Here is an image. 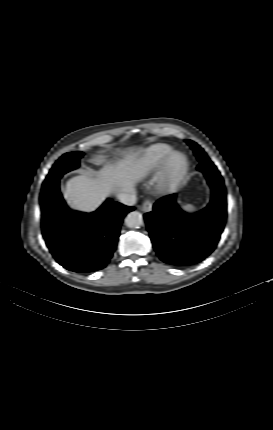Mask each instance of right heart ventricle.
<instances>
[{"label": "right heart ventricle", "instance_id": "obj_1", "mask_svg": "<svg viewBox=\"0 0 273 430\" xmlns=\"http://www.w3.org/2000/svg\"><path fill=\"white\" fill-rule=\"evenodd\" d=\"M172 152V147L167 144H153L144 150L136 173L140 177L154 172Z\"/></svg>", "mask_w": 273, "mask_h": 430}]
</instances>
